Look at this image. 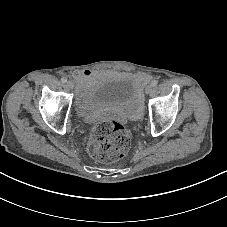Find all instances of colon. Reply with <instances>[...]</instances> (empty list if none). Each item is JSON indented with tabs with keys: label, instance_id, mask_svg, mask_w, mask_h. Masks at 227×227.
<instances>
[{
	"label": "colon",
	"instance_id": "5ec220e1",
	"mask_svg": "<svg viewBox=\"0 0 227 227\" xmlns=\"http://www.w3.org/2000/svg\"><path fill=\"white\" fill-rule=\"evenodd\" d=\"M130 146L126 128L116 122H99L89 136L88 151L92 158L111 163L124 156Z\"/></svg>",
	"mask_w": 227,
	"mask_h": 227
}]
</instances>
